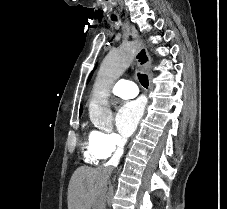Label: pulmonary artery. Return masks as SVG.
Wrapping results in <instances>:
<instances>
[{
  "instance_id": "1",
  "label": "pulmonary artery",
  "mask_w": 227,
  "mask_h": 209,
  "mask_svg": "<svg viewBox=\"0 0 227 209\" xmlns=\"http://www.w3.org/2000/svg\"><path fill=\"white\" fill-rule=\"evenodd\" d=\"M132 83V81L129 80H119L115 83V85L112 88V93L114 95H117L123 99H130L137 95L136 84H128Z\"/></svg>"
}]
</instances>
